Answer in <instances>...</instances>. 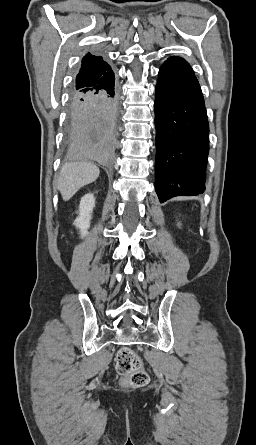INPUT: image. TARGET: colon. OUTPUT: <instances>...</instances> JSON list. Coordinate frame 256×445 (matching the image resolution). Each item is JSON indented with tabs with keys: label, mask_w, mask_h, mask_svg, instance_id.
Masks as SVG:
<instances>
[{
	"label": "colon",
	"mask_w": 256,
	"mask_h": 445,
	"mask_svg": "<svg viewBox=\"0 0 256 445\" xmlns=\"http://www.w3.org/2000/svg\"><path fill=\"white\" fill-rule=\"evenodd\" d=\"M116 372L122 383L133 388L144 387L149 376L139 355L130 348H121L116 357Z\"/></svg>",
	"instance_id": "5ec220e1"
}]
</instances>
